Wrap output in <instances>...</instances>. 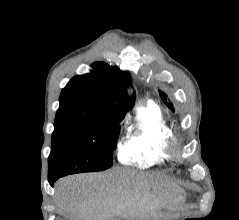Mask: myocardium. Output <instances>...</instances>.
Returning <instances> with one entry per match:
<instances>
[{"instance_id": "1", "label": "myocardium", "mask_w": 239, "mask_h": 220, "mask_svg": "<svg viewBox=\"0 0 239 220\" xmlns=\"http://www.w3.org/2000/svg\"><path fill=\"white\" fill-rule=\"evenodd\" d=\"M176 143H177L176 139L173 136H171L167 143V149L173 150L176 146Z\"/></svg>"}]
</instances>
